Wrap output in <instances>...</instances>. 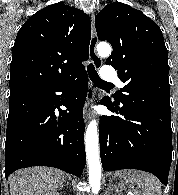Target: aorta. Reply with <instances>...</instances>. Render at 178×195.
<instances>
[{
	"instance_id": "obj_1",
	"label": "aorta",
	"mask_w": 178,
	"mask_h": 195,
	"mask_svg": "<svg viewBox=\"0 0 178 195\" xmlns=\"http://www.w3.org/2000/svg\"><path fill=\"white\" fill-rule=\"evenodd\" d=\"M98 54L107 57L111 54V46L106 42L97 45ZM98 123L93 120L85 132V148L89 168V183L93 194H98L101 180V162L99 158Z\"/></svg>"
}]
</instances>
